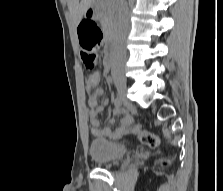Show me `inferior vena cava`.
Returning a JSON list of instances; mask_svg holds the SVG:
<instances>
[{"mask_svg": "<svg viewBox=\"0 0 223 191\" xmlns=\"http://www.w3.org/2000/svg\"><path fill=\"white\" fill-rule=\"evenodd\" d=\"M116 7L118 13V32L114 47V58L112 65L113 74L117 73L120 63L123 62L126 57L124 41L129 29L128 7L126 1L117 0Z\"/></svg>", "mask_w": 223, "mask_h": 191, "instance_id": "602c4592", "label": "inferior vena cava"}]
</instances>
